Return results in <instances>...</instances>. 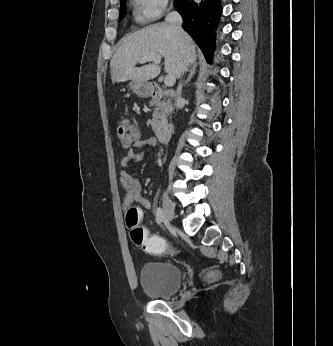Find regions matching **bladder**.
I'll return each mask as SVG.
<instances>
[{
	"mask_svg": "<svg viewBox=\"0 0 333 346\" xmlns=\"http://www.w3.org/2000/svg\"><path fill=\"white\" fill-rule=\"evenodd\" d=\"M181 269L171 263L145 265L141 269L140 284L147 295L164 299L174 295L182 285Z\"/></svg>",
	"mask_w": 333,
	"mask_h": 346,
	"instance_id": "1",
	"label": "bladder"
}]
</instances>
